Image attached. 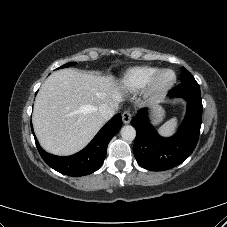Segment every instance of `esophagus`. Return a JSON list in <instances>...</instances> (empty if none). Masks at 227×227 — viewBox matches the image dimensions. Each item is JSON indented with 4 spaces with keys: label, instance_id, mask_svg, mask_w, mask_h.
I'll return each instance as SVG.
<instances>
[{
    "label": "esophagus",
    "instance_id": "1",
    "mask_svg": "<svg viewBox=\"0 0 227 227\" xmlns=\"http://www.w3.org/2000/svg\"><path fill=\"white\" fill-rule=\"evenodd\" d=\"M131 117H132V115H131L130 111H127V110L124 111L122 114V120L125 124L130 123Z\"/></svg>",
    "mask_w": 227,
    "mask_h": 227
}]
</instances>
